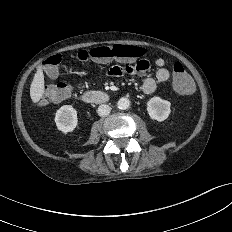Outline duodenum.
Returning a JSON list of instances; mask_svg holds the SVG:
<instances>
[{
	"instance_id": "obj_1",
	"label": "duodenum",
	"mask_w": 232,
	"mask_h": 232,
	"mask_svg": "<svg viewBox=\"0 0 232 232\" xmlns=\"http://www.w3.org/2000/svg\"><path fill=\"white\" fill-rule=\"evenodd\" d=\"M82 100L88 104H102L109 100V95L102 91H87L82 95Z\"/></svg>"
}]
</instances>
